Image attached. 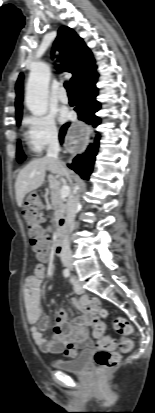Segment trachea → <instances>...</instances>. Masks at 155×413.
I'll return each instance as SVG.
<instances>
[{
	"instance_id": "trachea-1",
	"label": "trachea",
	"mask_w": 155,
	"mask_h": 413,
	"mask_svg": "<svg viewBox=\"0 0 155 413\" xmlns=\"http://www.w3.org/2000/svg\"><path fill=\"white\" fill-rule=\"evenodd\" d=\"M64 86L68 92L69 95H74V90L72 88V84L70 81H65Z\"/></svg>"
}]
</instances>
